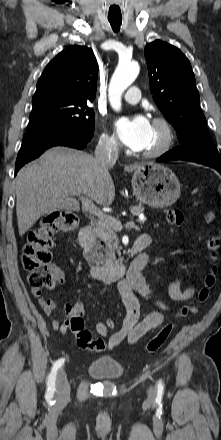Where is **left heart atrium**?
Returning <instances> with one entry per match:
<instances>
[{"instance_id":"left-heart-atrium-1","label":"left heart atrium","mask_w":221,"mask_h":440,"mask_svg":"<svg viewBox=\"0 0 221 440\" xmlns=\"http://www.w3.org/2000/svg\"><path fill=\"white\" fill-rule=\"evenodd\" d=\"M122 142L133 150H143L149 141L151 123L143 115L122 117L115 122Z\"/></svg>"}]
</instances>
